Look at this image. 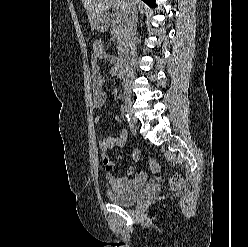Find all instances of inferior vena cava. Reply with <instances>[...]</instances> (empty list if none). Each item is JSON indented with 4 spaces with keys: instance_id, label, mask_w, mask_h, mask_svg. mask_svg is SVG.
<instances>
[{
    "instance_id": "obj_1",
    "label": "inferior vena cava",
    "mask_w": 248,
    "mask_h": 247,
    "mask_svg": "<svg viewBox=\"0 0 248 247\" xmlns=\"http://www.w3.org/2000/svg\"><path fill=\"white\" fill-rule=\"evenodd\" d=\"M123 10L128 37L127 60L133 61L136 56V26L138 20L135 0H125Z\"/></svg>"
}]
</instances>
